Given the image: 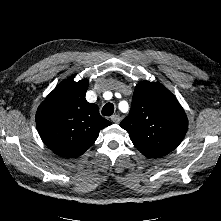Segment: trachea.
I'll use <instances>...</instances> for the list:
<instances>
[{
  "instance_id": "1",
  "label": "trachea",
  "mask_w": 221,
  "mask_h": 221,
  "mask_svg": "<svg viewBox=\"0 0 221 221\" xmlns=\"http://www.w3.org/2000/svg\"><path fill=\"white\" fill-rule=\"evenodd\" d=\"M114 111V106L111 103L106 104L102 109V114L105 116H111Z\"/></svg>"
}]
</instances>
